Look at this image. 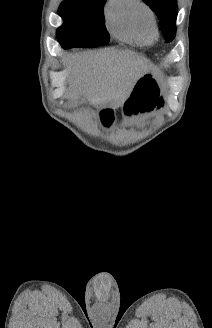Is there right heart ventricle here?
<instances>
[{"label": "right heart ventricle", "mask_w": 212, "mask_h": 328, "mask_svg": "<svg viewBox=\"0 0 212 328\" xmlns=\"http://www.w3.org/2000/svg\"><path fill=\"white\" fill-rule=\"evenodd\" d=\"M139 0H109L105 16L110 31L125 41L150 43L156 32L143 26L139 17Z\"/></svg>", "instance_id": "1"}]
</instances>
